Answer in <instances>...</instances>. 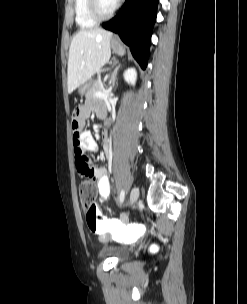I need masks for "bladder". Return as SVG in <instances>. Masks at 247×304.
<instances>
[{
    "label": "bladder",
    "instance_id": "31cf9c89",
    "mask_svg": "<svg viewBox=\"0 0 247 304\" xmlns=\"http://www.w3.org/2000/svg\"><path fill=\"white\" fill-rule=\"evenodd\" d=\"M128 254L127 250L122 247H107V248H102L99 251V255L106 257V256H112L116 257L118 259H122L126 257Z\"/></svg>",
    "mask_w": 247,
    "mask_h": 304
}]
</instances>
